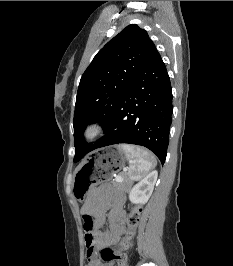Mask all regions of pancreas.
I'll list each match as a JSON object with an SVG mask.
<instances>
[{
  "instance_id": "1",
  "label": "pancreas",
  "mask_w": 233,
  "mask_h": 266,
  "mask_svg": "<svg viewBox=\"0 0 233 266\" xmlns=\"http://www.w3.org/2000/svg\"><path fill=\"white\" fill-rule=\"evenodd\" d=\"M129 184V181L128 180H126V181H122V182H117V185L119 186V187H125L126 185H128Z\"/></svg>"
}]
</instances>
